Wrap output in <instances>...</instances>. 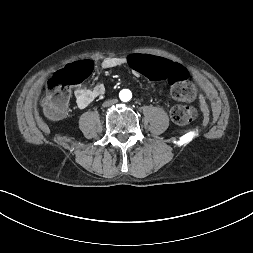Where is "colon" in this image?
I'll list each match as a JSON object with an SVG mask.
<instances>
[{"instance_id":"colon-1","label":"colon","mask_w":253,"mask_h":253,"mask_svg":"<svg viewBox=\"0 0 253 253\" xmlns=\"http://www.w3.org/2000/svg\"><path fill=\"white\" fill-rule=\"evenodd\" d=\"M129 68L135 74H144L152 79L168 81L171 94L180 102H191L195 98V87L189 74L174 60L163 57H152L144 53H135L129 59ZM92 69L90 62L70 65L55 73L47 84L43 105L46 114L51 118H61L68 107L69 89L83 82ZM173 122L187 125L196 117V110L187 105H176L170 111Z\"/></svg>"}]
</instances>
